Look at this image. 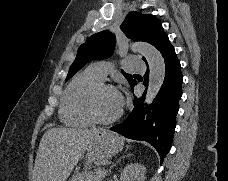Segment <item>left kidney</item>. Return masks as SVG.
<instances>
[{
    "label": "left kidney",
    "instance_id": "left-kidney-1",
    "mask_svg": "<svg viewBox=\"0 0 228 181\" xmlns=\"http://www.w3.org/2000/svg\"><path fill=\"white\" fill-rule=\"evenodd\" d=\"M146 167L140 163H132L123 169L120 181H145Z\"/></svg>",
    "mask_w": 228,
    "mask_h": 181
}]
</instances>
